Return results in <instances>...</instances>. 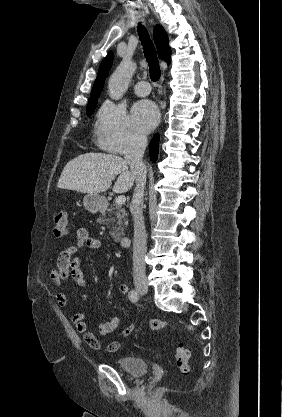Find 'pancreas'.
Masks as SVG:
<instances>
[{
	"mask_svg": "<svg viewBox=\"0 0 282 417\" xmlns=\"http://www.w3.org/2000/svg\"><path fill=\"white\" fill-rule=\"evenodd\" d=\"M106 215H108V217H106ZM126 217L127 213L125 209H123L122 204L113 202L107 213H103L98 221L101 225H106L107 229H110L111 227L110 235L113 237V241H115V243H119L124 235V229L127 225Z\"/></svg>",
	"mask_w": 282,
	"mask_h": 417,
	"instance_id": "cf45deb5",
	"label": "pancreas"
}]
</instances>
